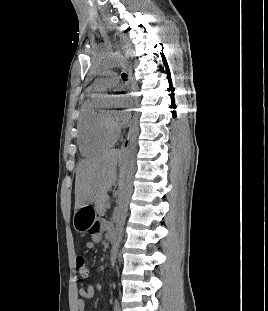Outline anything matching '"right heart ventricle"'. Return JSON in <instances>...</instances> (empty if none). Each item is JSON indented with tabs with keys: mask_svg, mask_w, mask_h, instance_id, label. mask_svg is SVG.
I'll return each instance as SVG.
<instances>
[{
	"mask_svg": "<svg viewBox=\"0 0 268 311\" xmlns=\"http://www.w3.org/2000/svg\"><path fill=\"white\" fill-rule=\"evenodd\" d=\"M116 135L106 126L103 114L85 102L78 117V144L85 156H92L110 148Z\"/></svg>",
	"mask_w": 268,
	"mask_h": 311,
	"instance_id": "right-heart-ventricle-1",
	"label": "right heart ventricle"
}]
</instances>
